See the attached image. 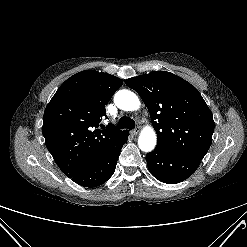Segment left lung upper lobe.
I'll return each mask as SVG.
<instances>
[{
    "label": "left lung upper lobe",
    "instance_id": "1",
    "mask_svg": "<svg viewBox=\"0 0 247 247\" xmlns=\"http://www.w3.org/2000/svg\"><path fill=\"white\" fill-rule=\"evenodd\" d=\"M148 108L157 145L202 160L214 132L213 115L200 93L181 77L166 71L129 78Z\"/></svg>",
    "mask_w": 247,
    "mask_h": 247
}]
</instances>
